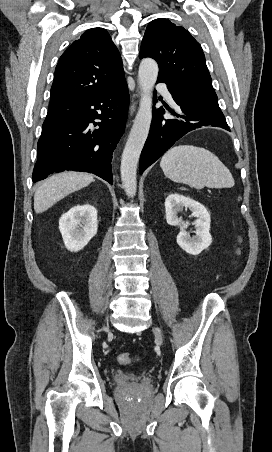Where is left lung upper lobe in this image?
I'll return each instance as SVG.
<instances>
[{
	"mask_svg": "<svg viewBox=\"0 0 272 452\" xmlns=\"http://www.w3.org/2000/svg\"><path fill=\"white\" fill-rule=\"evenodd\" d=\"M139 57L157 61L158 80L216 95L200 44L168 19L159 18L148 24Z\"/></svg>",
	"mask_w": 272,
	"mask_h": 452,
	"instance_id": "obj_1",
	"label": "left lung upper lobe"
}]
</instances>
